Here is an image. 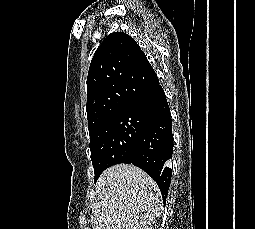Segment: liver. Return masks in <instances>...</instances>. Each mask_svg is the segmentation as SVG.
Returning a JSON list of instances; mask_svg holds the SVG:
<instances>
[{
    "mask_svg": "<svg viewBox=\"0 0 255 229\" xmlns=\"http://www.w3.org/2000/svg\"><path fill=\"white\" fill-rule=\"evenodd\" d=\"M92 204L93 229H152L162 207L154 180L140 168L118 164L105 170Z\"/></svg>",
    "mask_w": 255,
    "mask_h": 229,
    "instance_id": "obj_1",
    "label": "liver"
}]
</instances>
